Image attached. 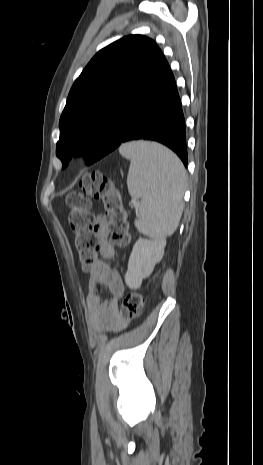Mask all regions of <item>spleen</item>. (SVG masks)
<instances>
[{
	"instance_id": "1",
	"label": "spleen",
	"mask_w": 263,
	"mask_h": 465,
	"mask_svg": "<svg viewBox=\"0 0 263 465\" xmlns=\"http://www.w3.org/2000/svg\"><path fill=\"white\" fill-rule=\"evenodd\" d=\"M119 152L130 160L127 186L132 198H140L137 230L153 239L175 232L183 210L186 171L169 149L154 143H125Z\"/></svg>"
}]
</instances>
